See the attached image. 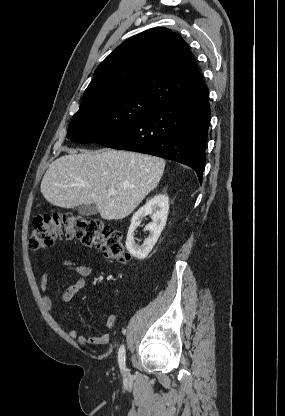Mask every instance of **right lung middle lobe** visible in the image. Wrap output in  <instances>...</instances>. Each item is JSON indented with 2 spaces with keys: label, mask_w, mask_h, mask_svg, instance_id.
Returning <instances> with one entry per match:
<instances>
[{
  "label": "right lung middle lobe",
  "mask_w": 285,
  "mask_h": 416,
  "mask_svg": "<svg viewBox=\"0 0 285 416\" xmlns=\"http://www.w3.org/2000/svg\"><path fill=\"white\" fill-rule=\"evenodd\" d=\"M157 107L150 100L131 96L79 108L71 120L67 138L77 143L98 142L129 127Z\"/></svg>",
  "instance_id": "right-lung-middle-lobe-1"
}]
</instances>
